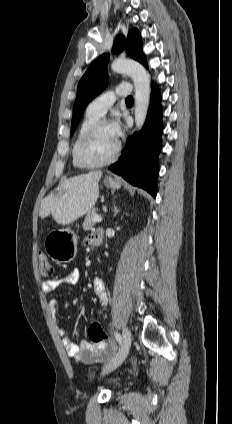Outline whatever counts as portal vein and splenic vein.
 Here are the masks:
<instances>
[{
    "label": "portal vein and splenic vein",
    "instance_id": "portal-vein-and-splenic-vein-1",
    "mask_svg": "<svg viewBox=\"0 0 232 424\" xmlns=\"http://www.w3.org/2000/svg\"><path fill=\"white\" fill-rule=\"evenodd\" d=\"M93 221H94V222H98V223H99V222H101V221H102V217L97 215V216H95V217L93 218Z\"/></svg>",
    "mask_w": 232,
    "mask_h": 424
}]
</instances>
